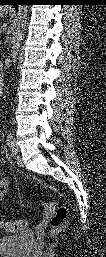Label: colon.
<instances>
[{
    "instance_id": "1",
    "label": "colon",
    "mask_w": 106,
    "mask_h": 257,
    "mask_svg": "<svg viewBox=\"0 0 106 257\" xmlns=\"http://www.w3.org/2000/svg\"><path fill=\"white\" fill-rule=\"evenodd\" d=\"M68 210L66 207L60 206L53 210L50 216V224L54 235L62 233L67 224ZM1 227L8 232H19L27 227L25 219L2 221Z\"/></svg>"
}]
</instances>
